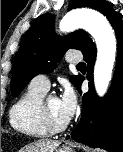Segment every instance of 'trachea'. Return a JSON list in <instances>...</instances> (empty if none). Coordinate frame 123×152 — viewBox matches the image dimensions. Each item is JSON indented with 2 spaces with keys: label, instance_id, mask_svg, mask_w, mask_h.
<instances>
[{
  "label": "trachea",
  "instance_id": "obj_1",
  "mask_svg": "<svg viewBox=\"0 0 123 152\" xmlns=\"http://www.w3.org/2000/svg\"><path fill=\"white\" fill-rule=\"evenodd\" d=\"M77 68H78V69H84V68H86V65H85V63H79V64L77 65Z\"/></svg>",
  "mask_w": 123,
  "mask_h": 152
}]
</instances>
